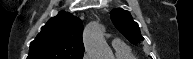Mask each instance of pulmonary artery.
<instances>
[{
    "label": "pulmonary artery",
    "mask_w": 193,
    "mask_h": 59,
    "mask_svg": "<svg viewBox=\"0 0 193 59\" xmlns=\"http://www.w3.org/2000/svg\"><path fill=\"white\" fill-rule=\"evenodd\" d=\"M113 47L115 50H121V49L127 48V46L124 43H122L118 40L113 41Z\"/></svg>",
    "instance_id": "pulmonary-artery-1"
}]
</instances>
